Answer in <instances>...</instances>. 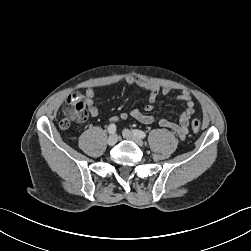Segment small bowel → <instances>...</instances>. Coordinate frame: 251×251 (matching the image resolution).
I'll use <instances>...</instances> for the list:
<instances>
[{
  "instance_id": "1",
  "label": "small bowel",
  "mask_w": 251,
  "mask_h": 251,
  "mask_svg": "<svg viewBox=\"0 0 251 251\" xmlns=\"http://www.w3.org/2000/svg\"><path fill=\"white\" fill-rule=\"evenodd\" d=\"M124 81L128 85L137 86L149 92L148 103L145 105L144 110L134 109L128 112H122L119 116H113L110 121L115 122L120 119L125 120L129 117L139 121L143 124H152L155 122V118L150 112L153 110L155 103L159 96L168 95L171 89L168 87H160L157 84L142 80L140 78L128 75L124 78ZM177 99L185 103V109L179 117V122L174 123L166 118H162L158 121L159 126L168 128L175 132L179 138L184 139L188 133V127L190 119L195 113V105L190 93L186 90L181 91ZM85 104L88 112L92 117H97L99 114L98 108L95 106V91L92 88H88L85 93Z\"/></svg>"
}]
</instances>
